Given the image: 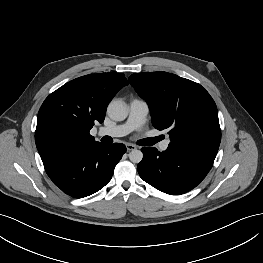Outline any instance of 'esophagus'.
I'll return each instance as SVG.
<instances>
[{
    "instance_id": "obj_1",
    "label": "esophagus",
    "mask_w": 263,
    "mask_h": 263,
    "mask_svg": "<svg viewBox=\"0 0 263 263\" xmlns=\"http://www.w3.org/2000/svg\"><path fill=\"white\" fill-rule=\"evenodd\" d=\"M126 148H127V151H132V150L137 149V146L129 143L126 145Z\"/></svg>"
}]
</instances>
